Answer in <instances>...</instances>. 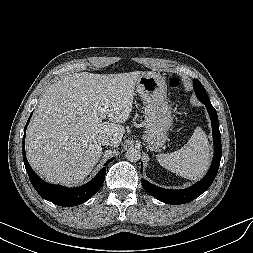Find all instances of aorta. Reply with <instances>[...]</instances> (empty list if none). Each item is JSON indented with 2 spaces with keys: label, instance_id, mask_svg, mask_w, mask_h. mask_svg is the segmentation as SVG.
Returning <instances> with one entry per match:
<instances>
[{
  "label": "aorta",
  "instance_id": "obj_1",
  "mask_svg": "<svg viewBox=\"0 0 253 253\" xmlns=\"http://www.w3.org/2000/svg\"><path fill=\"white\" fill-rule=\"evenodd\" d=\"M126 158L130 162H136L141 158V152L138 148L130 147L126 151Z\"/></svg>",
  "mask_w": 253,
  "mask_h": 253
}]
</instances>
